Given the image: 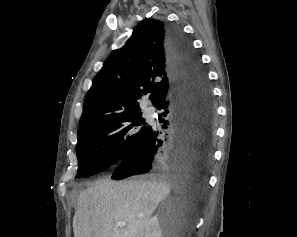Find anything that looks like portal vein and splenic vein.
<instances>
[{
	"label": "portal vein and splenic vein",
	"instance_id": "18ae733b",
	"mask_svg": "<svg viewBox=\"0 0 297 237\" xmlns=\"http://www.w3.org/2000/svg\"><path fill=\"white\" fill-rule=\"evenodd\" d=\"M116 226L124 227V226H126V222H116Z\"/></svg>",
	"mask_w": 297,
	"mask_h": 237
}]
</instances>
